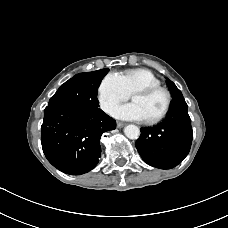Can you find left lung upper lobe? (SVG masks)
<instances>
[{
	"mask_svg": "<svg viewBox=\"0 0 228 228\" xmlns=\"http://www.w3.org/2000/svg\"><path fill=\"white\" fill-rule=\"evenodd\" d=\"M167 83L172 92L173 98L178 95H182L181 91L176 87V85L171 80H167Z\"/></svg>",
	"mask_w": 228,
	"mask_h": 228,
	"instance_id": "obj_1",
	"label": "left lung upper lobe"
}]
</instances>
